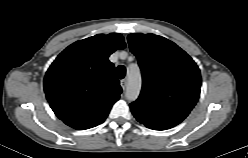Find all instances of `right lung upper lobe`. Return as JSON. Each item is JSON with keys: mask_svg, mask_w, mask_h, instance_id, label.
Masks as SVG:
<instances>
[{"mask_svg": "<svg viewBox=\"0 0 248 158\" xmlns=\"http://www.w3.org/2000/svg\"><path fill=\"white\" fill-rule=\"evenodd\" d=\"M124 47L121 34H98L71 44L54 60L44 91L65 124L84 130L104 122L122 92L108 57Z\"/></svg>", "mask_w": 248, "mask_h": 158, "instance_id": "1", "label": "right lung upper lobe"}]
</instances>
